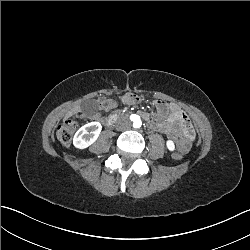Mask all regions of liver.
Listing matches in <instances>:
<instances>
[{
    "label": "liver",
    "mask_w": 250,
    "mask_h": 250,
    "mask_svg": "<svg viewBox=\"0 0 250 250\" xmlns=\"http://www.w3.org/2000/svg\"><path fill=\"white\" fill-rule=\"evenodd\" d=\"M77 112L76 108L70 110L67 114H66V118L71 117L73 114H75Z\"/></svg>",
    "instance_id": "obj_1"
}]
</instances>
